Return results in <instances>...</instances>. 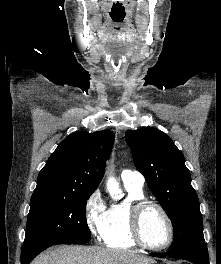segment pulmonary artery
I'll return each instance as SVG.
<instances>
[{
    "label": "pulmonary artery",
    "mask_w": 221,
    "mask_h": 264,
    "mask_svg": "<svg viewBox=\"0 0 221 264\" xmlns=\"http://www.w3.org/2000/svg\"><path fill=\"white\" fill-rule=\"evenodd\" d=\"M121 179L124 182V184H132L140 188L143 187L145 182V178L140 172L130 169H126L122 171Z\"/></svg>",
    "instance_id": "obj_1"
}]
</instances>
